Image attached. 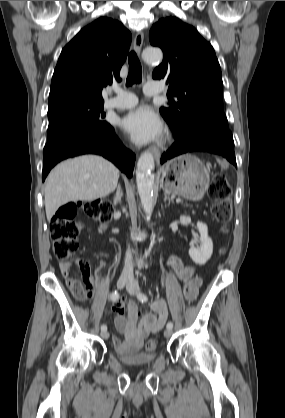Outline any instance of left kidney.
<instances>
[{"label":"left kidney","mask_w":285,"mask_h":418,"mask_svg":"<svg viewBox=\"0 0 285 418\" xmlns=\"http://www.w3.org/2000/svg\"><path fill=\"white\" fill-rule=\"evenodd\" d=\"M197 229L200 233V245L195 247L192 243L189 249V256L196 264L204 265L212 256L213 242L208 236V227L206 224L198 222Z\"/></svg>","instance_id":"left-kidney-1"}]
</instances>
